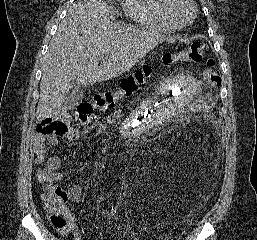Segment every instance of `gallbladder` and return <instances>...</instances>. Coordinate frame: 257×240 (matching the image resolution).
<instances>
[{"label":"gallbladder","instance_id":"gallbladder-1","mask_svg":"<svg viewBox=\"0 0 257 240\" xmlns=\"http://www.w3.org/2000/svg\"><path fill=\"white\" fill-rule=\"evenodd\" d=\"M83 99L82 86L76 81H71L67 88V96L64 99V108L74 110L79 106Z\"/></svg>","mask_w":257,"mask_h":240}]
</instances>
